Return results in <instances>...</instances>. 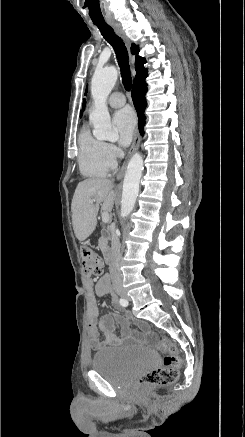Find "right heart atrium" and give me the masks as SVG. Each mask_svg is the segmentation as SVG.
<instances>
[{
    "label": "right heart atrium",
    "mask_w": 245,
    "mask_h": 437,
    "mask_svg": "<svg viewBox=\"0 0 245 437\" xmlns=\"http://www.w3.org/2000/svg\"><path fill=\"white\" fill-rule=\"evenodd\" d=\"M119 149L111 143H105V157L111 166H115L119 158Z\"/></svg>",
    "instance_id": "d8ad5b80"
}]
</instances>
